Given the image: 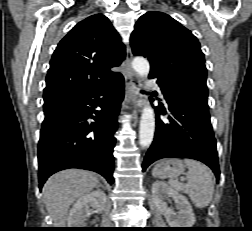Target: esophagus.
I'll return each mask as SVG.
<instances>
[{"mask_svg": "<svg viewBox=\"0 0 252 231\" xmlns=\"http://www.w3.org/2000/svg\"><path fill=\"white\" fill-rule=\"evenodd\" d=\"M131 49L129 46L126 48V59L124 61V73L126 77V100L130 103L131 108L134 106L138 96V86L140 82L136 74L131 69Z\"/></svg>", "mask_w": 252, "mask_h": 231, "instance_id": "1", "label": "esophagus"}]
</instances>
